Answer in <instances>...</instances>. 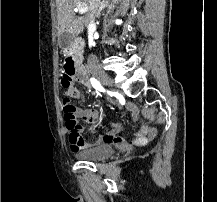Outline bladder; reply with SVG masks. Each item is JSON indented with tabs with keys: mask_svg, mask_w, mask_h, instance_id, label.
<instances>
[{
	"mask_svg": "<svg viewBox=\"0 0 217 202\" xmlns=\"http://www.w3.org/2000/svg\"><path fill=\"white\" fill-rule=\"evenodd\" d=\"M114 151L111 144L97 145L95 148L78 153L85 160L110 158Z\"/></svg>",
	"mask_w": 217,
	"mask_h": 202,
	"instance_id": "31cf9c89",
	"label": "bladder"
}]
</instances>
